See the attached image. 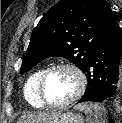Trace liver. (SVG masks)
<instances>
[{"label":"liver","mask_w":122,"mask_h":123,"mask_svg":"<svg viewBox=\"0 0 122 123\" xmlns=\"http://www.w3.org/2000/svg\"><path fill=\"white\" fill-rule=\"evenodd\" d=\"M50 113L23 115L17 123H44L50 118Z\"/></svg>","instance_id":"1"}]
</instances>
